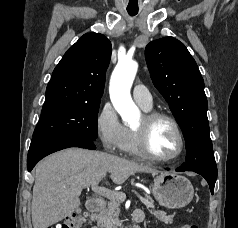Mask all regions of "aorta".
I'll use <instances>...</instances> for the list:
<instances>
[{"instance_id":"762f6f07","label":"aorta","mask_w":238,"mask_h":228,"mask_svg":"<svg viewBox=\"0 0 238 228\" xmlns=\"http://www.w3.org/2000/svg\"><path fill=\"white\" fill-rule=\"evenodd\" d=\"M138 64L132 60H119L110 80V98L124 122L136 119L140 111L134 104L130 89L135 79Z\"/></svg>"}]
</instances>
